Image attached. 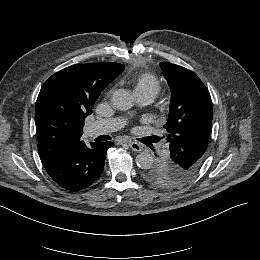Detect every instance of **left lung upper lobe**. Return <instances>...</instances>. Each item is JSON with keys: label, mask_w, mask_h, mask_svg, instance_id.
I'll return each mask as SVG.
<instances>
[{"label": "left lung upper lobe", "mask_w": 260, "mask_h": 260, "mask_svg": "<svg viewBox=\"0 0 260 260\" xmlns=\"http://www.w3.org/2000/svg\"><path fill=\"white\" fill-rule=\"evenodd\" d=\"M171 89L168 120L164 126L170 143V158L147 167L144 179L162 188L189 180L205 159L212 124V101L203 82L190 70L160 63Z\"/></svg>", "instance_id": "5c2ea615"}]
</instances>
